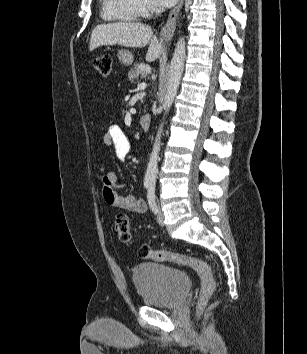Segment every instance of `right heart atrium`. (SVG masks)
Instances as JSON below:
<instances>
[{"mask_svg": "<svg viewBox=\"0 0 307 354\" xmlns=\"http://www.w3.org/2000/svg\"><path fill=\"white\" fill-rule=\"evenodd\" d=\"M138 13L141 16H148L155 10L153 0H134Z\"/></svg>", "mask_w": 307, "mask_h": 354, "instance_id": "obj_1", "label": "right heart atrium"}]
</instances>
